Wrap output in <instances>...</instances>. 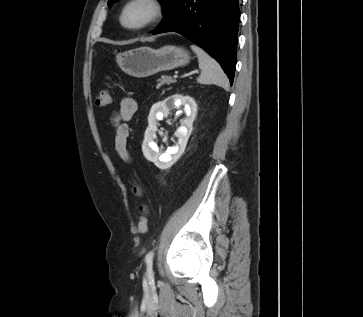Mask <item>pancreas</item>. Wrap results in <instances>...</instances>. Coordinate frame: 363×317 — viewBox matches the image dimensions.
Instances as JSON below:
<instances>
[{
	"mask_svg": "<svg viewBox=\"0 0 363 317\" xmlns=\"http://www.w3.org/2000/svg\"><path fill=\"white\" fill-rule=\"evenodd\" d=\"M159 85H163V84H170L173 83L174 80L171 77L168 76H162L161 79L158 80Z\"/></svg>",
	"mask_w": 363,
	"mask_h": 317,
	"instance_id": "cf45deb5",
	"label": "pancreas"
}]
</instances>
